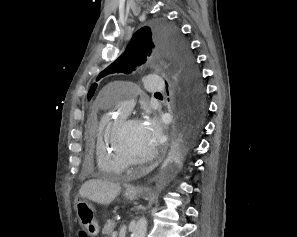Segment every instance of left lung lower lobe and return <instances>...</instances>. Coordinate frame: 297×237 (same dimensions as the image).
<instances>
[{
	"label": "left lung lower lobe",
	"instance_id": "left-lung-lower-lobe-1",
	"mask_svg": "<svg viewBox=\"0 0 297 237\" xmlns=\"http://www.w3.org/2000/svg\"><path fill=\"white\" fill-rule=\"evenodd\" d=\"M177 107L182 126L173 145V156L175 159H179L195 143L196 135L202 128L206 112L205 104L199 106L184 94L180 95Z\"/></svg>",
	"mask_w": 297,
	"mask_h": 237
}]
</instances>
